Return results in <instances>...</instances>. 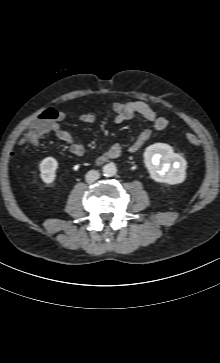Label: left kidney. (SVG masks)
I'll use <instances>...</instances> for the list:
<instances>
[{
  "label": "left kidney",
  "mask_w": 220,
  "mask_h": 363,
  "mask_svg": "<svg viewBox=\"0 0 220 363\" xmlns=\"http://www.w3.org/2000/svg\"><path fill=\"white\" fill-rule=\"evenodd\" d=\"M160 160L165 163L161 166ZM144 163L150 177L160 183L179 184L186 177V161L174 153L173 148L165 143H155L148 146L144 152ZM172 169H169L170 164Z\"/></svg>",
  "instance_id": "5707ae66"
}]
</instances>
